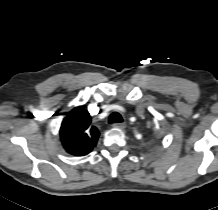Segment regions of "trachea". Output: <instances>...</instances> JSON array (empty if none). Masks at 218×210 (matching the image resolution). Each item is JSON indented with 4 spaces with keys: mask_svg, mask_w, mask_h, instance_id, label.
Masks as SVG:
<instances>
[{
    "mask_svg": "<svg viewBox=\"0 0 218 210\" xmlns=\"http://www.w3.org/2000/svg\"><path fill=\"white\" fill-rule=\"evenodd\" d=\"M123 122L122 116L118 112H113L109 117V123H121Z\"/></svg>",
    "mask_w": 218,
    "mask_h": 210,
    "instance_id": "obj_1",
    "label": "trachea"
}]
</instances>
